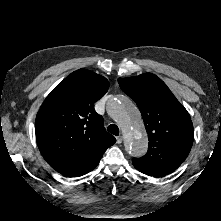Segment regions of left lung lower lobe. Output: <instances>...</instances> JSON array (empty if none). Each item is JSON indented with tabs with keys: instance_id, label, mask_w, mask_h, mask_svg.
I'll list each match as a JSON object with an SVG mask.
<instances>
[{
	"instance_id": "obj_1",
	"label": "left lung lower lobe",
	"mask_w": 221,
	"mask_h": 221,
	"mask_svg": "<svg viewBox=\"0 0 221 221\" xmlns=\"http://www.w3.org/2000/svg\"><path fill=\"white\" fill-rule=\"evenodd\" d=\"M147 175L152 176V177H163V176H165L163 174H153V175L147 174Z\"/></svg>"
}]
</instances>
